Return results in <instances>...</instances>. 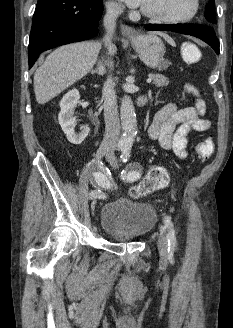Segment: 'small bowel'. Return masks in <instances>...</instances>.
I'll return each mask as SVG.
<instances>
[{
    "label": "small bowel",
    "instance_id": "small-bowel-1",
    "mask_svg": "<svg viewBox=\"0 0 233 328\" xmlns=\"http://www.w3.org/2000/svg\"><path fill=\"white\" fill-rule=\"evenodd\" d=\"M186 90L196 98L194 106L178 108L167 104L156 113L148 129V136L160 146L172 151L178 158L187 156L188 135L191 131H207L211 122L204 118L206 102L196 87L186 85Z\"/></svg>",
    "mask_w": 233,
    "mask_h": 328
}]
</instances>
